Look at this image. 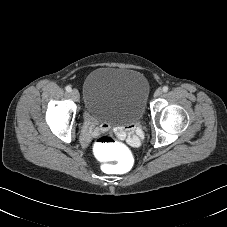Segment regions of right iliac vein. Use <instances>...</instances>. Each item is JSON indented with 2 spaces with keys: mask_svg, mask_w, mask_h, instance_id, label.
Returning <instances> with one entry per match:
<instances>
[{
  "mask_svg": "<svg viewBox=\"0 0 227 227\" xmlns=\"http://www.w3.org/2000/svg\"><path fill=\"white\" fill-rule=\"evenodd\" d=\"M71 95H72V97H73V99H74L75 101H78V100H79V92H78L77 89H73V90L71 91Z\"/></svg>",
  "mask_w": 227,
  "mask_h": 227,
  "instance_id": "obj_1",
  "label": "right iliac vein"
}]
</instances>
